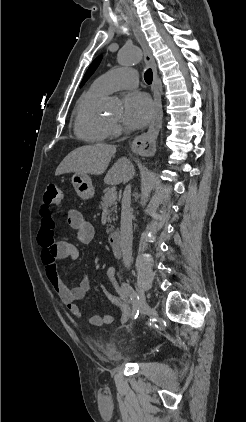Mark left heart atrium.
<instances>
[{
	"label": "left heart atrium",
	"mask_w": 246,
	"mask_h": 422,
	"mask_svg": "<svg viewBox=\"0 0 246 422\" xmlns=\"http://www.w3.org/2000/svg\"><path fill=\"white\" fill-rule=\"evenodd\" d=\"M153 115V104L149 96L142 92L128 93L123 100V123L131 129L145 126Z\"/></svg>",
	"instance_id": "1"
}]
</instances>
